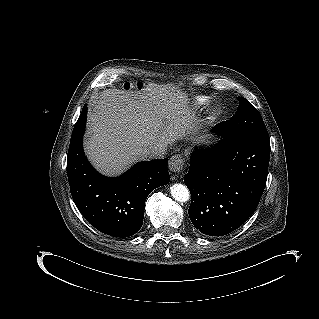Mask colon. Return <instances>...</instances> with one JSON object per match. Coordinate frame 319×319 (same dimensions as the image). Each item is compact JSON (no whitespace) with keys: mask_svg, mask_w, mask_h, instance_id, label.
<instances>
[{"mask_svg":"<svg viewBox=\"0 0 319 319\" xmlns=\"http://www.w3.org/2000/svg\"><path fill=\"white\" fill-rule=\"evenodd\" d=\"M132 87H133V86H132L130 83H127V84H125V86H124V88L127 89V90L131 89ZM136 87H137L138 89H140V88L142 87V85L138 83V84L136 85Z\"/></svg>","mask_w":319,"mask_h":319,"instance_id":"colon-1","label":"colon"}]
</instances>
